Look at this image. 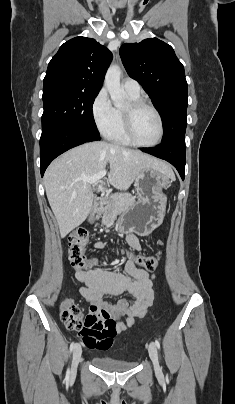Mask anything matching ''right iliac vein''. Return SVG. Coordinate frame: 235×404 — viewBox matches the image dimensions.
Here are the masks:
<instances>
[{"instance_id":"obj_1","label":"right iliac vein","mask_w":235,"mask_h":404,"mask_svg":"<svg viewBox=\"0 0 235 404\" xmlns=\"http://www.w3.org/2000/svg\"><path fill=\"white\" fill-rule=\"evenodd\" d=\"M82 355V348L80 344H77L73 350V358H72V365H71V377H74L77 371V367Z\"/></svg>"}]
</instances>
